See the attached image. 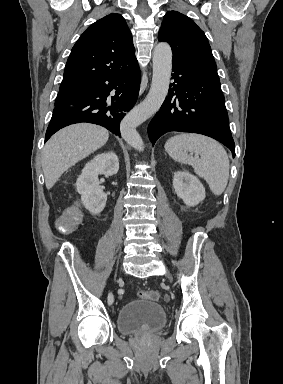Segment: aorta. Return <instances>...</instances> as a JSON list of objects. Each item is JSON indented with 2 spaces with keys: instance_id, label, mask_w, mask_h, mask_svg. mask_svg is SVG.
Instances as JSON below:
<instances>
[{
  "instance_id": "1",
  "label": "aorta",
  "mask_w": 283,
  "mask_h": 384,
  "mask_svg": "<svg viewBox=\"0 0 283 384\" xmlns=\"http://www.w3.org/2000/svg\"><path fill=\"white\" fill-rule=\"evenodd\" d=\"M172 71V50L169 44L158 43L153 51L152 83L147 97L122 120L123 139L134 149L144 150V143L136 127L154 115L161 107L169 90Z\"/></svg>"
}]
</instances>
